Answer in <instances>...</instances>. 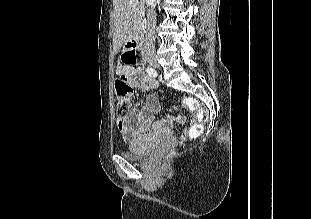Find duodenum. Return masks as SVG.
Instances as JSON below:
<instances>
[{
  "mask_svg": "<svg viewBox=\"0 0 311 219\" xmlns=\"http://www.w3.org/2000/svg\"><path fill=\"white\" fill-rule=\"evenodd\" d=\"M143 35H144V27L141 26L133 35V37L129 40L127 43V49L133 53L134 55H137V49L139 51L142 50V42H143Z\"/></svg>",
  "mask_w": 311,
  "mask_h": 219,
  "instance_id": "1",
  "label": "duodenum"
}]
</instances>
